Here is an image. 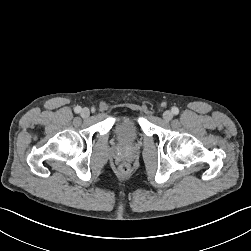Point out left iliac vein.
<instances>
[{"label": "left iliac vein", "mask_w": 251, "mask_h": 251, "mask_svg": "<svg viewBox=\"0 0 251 251\" xmlns=\"http://www.w3.org/2000/svg\"><path fill=\"white\" fill-rule=\"evenodd\" d=\"M163 118L166 120V121H170L172 118H173V113L169 110L165 111L163 113Z\"/></svg>", "instance_id": "obj_1"}]
</instances>
